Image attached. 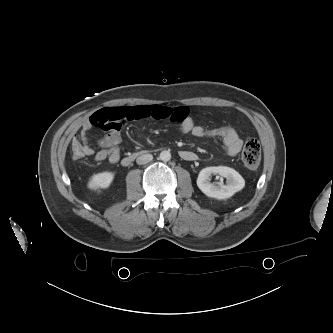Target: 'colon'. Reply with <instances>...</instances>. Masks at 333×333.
<instances>
[{
  "mask_svg": "<svg viewBox=\"0 0 333 333\" xmlns=\"http://www.w3.org/2000/svg\"><path fill=\"white\" fill-rule=\"evenodd\" d=\"M228 129V126H222L205 131L206 137H222ZM72 158L75 160L85 157L82 144L78 139L74 138L71 143ZM242 161L250 169L258 167L261 159V146L256 138H248L245 141L242 151Z\"/></svg>",
  "mask_w": 333,
  "mask_h": 333,
  "instance_id": "obj_1",
  "label": "colon"
}]
</instances>
